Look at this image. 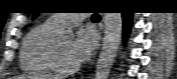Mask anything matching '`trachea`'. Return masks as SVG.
<instances>
[{
	"label": "trachea",
	"mask_w": 177,
	"mask_h": 79,
	"mask_svg": "<svg viewBox=\"0 0 177 79\" xmlns=\"http://www.w3.org/2000/svg\"><path fill=\"white\" fill-rule=\"evenodd\" d=\"M92 20H93V21H98V20H100V16H99L98 14H94V15L92 16Z\"/></svg>",
	"instance_id": "obj_1"
}]
</instances>
